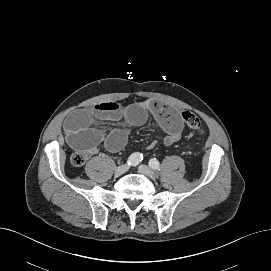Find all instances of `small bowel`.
Segmentation results:
<instances>
[{"label": "small bowel", "mask_w": 271, "mask_h": 271, "mask_svg": "<svg viewBox=\"0 0 271 271\" xmlns=\"http://www.w3.org/2000/svg\"><path fill=\"white\" fill-rule=\"evenodd\" d=\"M148 113L155 117L158 125L166 132V145L178 140L183 128L182 117L175 109L154 101L127 108L107 102L91 109L77 110L66 119L64 129L69 144L76 149L92 154L103 144L108 151L116 152L125 146L128 131L120 128L105 131L93 128V124L98 120H110L140 126L145 123Z\"/></svg>", "instance_id": "c3829d8e"}]
</instances>
